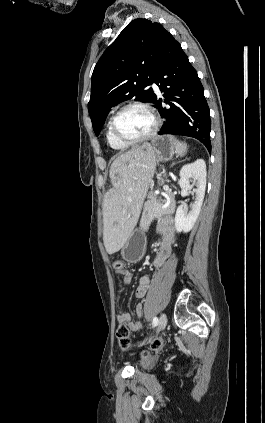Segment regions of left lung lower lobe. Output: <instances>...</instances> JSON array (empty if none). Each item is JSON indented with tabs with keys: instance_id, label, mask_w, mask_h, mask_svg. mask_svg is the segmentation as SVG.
I'll use <instances>...</instances> for the list:
<instances>
[{
	"instance_id": "0a47b994",
	"label": "left lung lower lobe",
	"mask_w": 265,
	"mask_h": 423,
	"mask_svg": "<svg viewBox=\"0 0 265 423\" xmlns=\"http://www.w3.org/2000/svg\"><path fill=\"white\" fill-rule=\"evenodd\" d=\"M153 82L159 86L161 92H164L165 103L170 105L168 109L163 108L162 99H157L155 95L153 103L165 118L158 134L196 138L210 152L211 121L204 89L196 70L190 64L179 42L171 34L167 36Z\"/></svg>"
}]
</instances>
